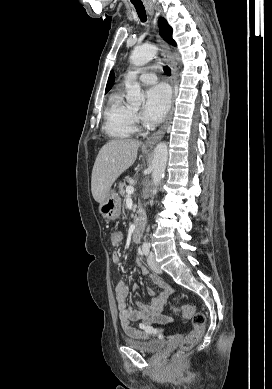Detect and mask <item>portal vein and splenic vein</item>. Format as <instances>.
<instances>
[{
	"instance_id": "1",
	"label": "portal vein and splenic vein",
	"mask_w": 272,
	"mask_h": 389,
	"mask_svg": "<svg viewBox=\"0 0 272 389\" xmlns=\"http://www.w3.org/2000/svg\"><path fill=\"white\" fill-rule=\"evenodd\" d=\"M133 192H134V187H133V186H128V187L126 188V193H127L128 195L132 194Z\"/></svg>"
}]
</instances>
